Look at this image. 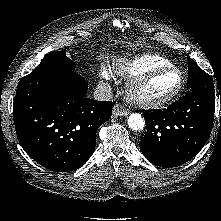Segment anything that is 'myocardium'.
I'll use <instances>...</instances> for the list:
<instances>
[{
    "instance_id": "1",
    "label": "myocardium",
    "mask_w": 221,
    "mask_h": 221,
    "mask_svg": "<svg viewBox=\"0 0 221 221\" xmlns=\"http://www.w3.org/2000/svg\"><path fill=\"white\" fill-rule=\"evenodd\" d=\"M165 72H176L179 75V83L172 92L160 97H146L139 94V90L146 83ZM184 85L185 76L181 69L173 65L168 67H160L130 79L125 88V95L127 100L132 104L145 108H156L164 106L173 101L182 92Z\"/></svg>"
}]
</instances>
